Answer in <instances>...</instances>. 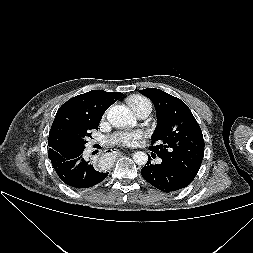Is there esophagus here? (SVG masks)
Returning <instances> with one entry per match:
<instances>
[{
  "label": "esophagus",
  "instance_id": "esophagus-1",
  "mask_svg": "<svg viewBox=\"0 0 253 253\" xmlns=\"http://www.w3.org/2000/svg\"><path fill=\"white\" fill-rule=\"evenodd\" d=\"M110 152H111L112 154H120L119 149H116V148L110 149Z\"/></svg>",
  "mask_w": 253,
  "mask_h": 253
}]
</instances>
